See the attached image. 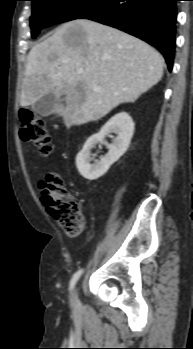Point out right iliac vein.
Here are the masks:
<instances>
[{
	"label": "right iliac vein",
	"mask_w": 193,
	"mask_h": 349,
	"mask_svg": "<svg viewBox=\"0 0 193 349\" xmlns=\"http://www.w3.org/2000/svg\"><path fill=\"white\" fill-rule=\"evenodd\" d=\"M73 305H74L75 310H77L80 307V301L78 298V290L77 289H75V291H74Z\"/></svg>",
	"instance_id": "1"
}]
</instances>
